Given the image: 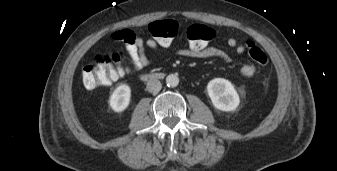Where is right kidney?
I'll return each mask as SVG.
<instances>
[{
  "mask_svg": "<svg viewBox=\"0 0 337 171\" xmlns=\"http://www.w3.org/2000/svg\"><path fill=\"white\" fill-rule=\"evenodd\" d=\"M131 89L128 85L122 84L112 93L109 103L115 112L124 111L130 103Z\"/></svg>",
  "mask_w": 337,
  "mask_h": 171,
  "instance_id": "ca27d5eb",
  "label": "right kidney"
}]
</instances>
